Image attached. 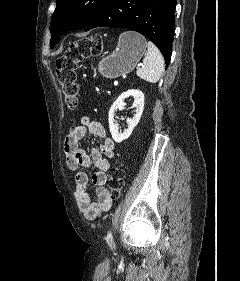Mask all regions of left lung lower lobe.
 <instances>
[{"instance_id":"1","label":"left lung lower lobe","mask_w":240,"mask_h":281,"mask_svg":"<svg viewBox=\"0 0 240 281\" xmlns=\"http://www.w3.org/2000/svg\"><path fill=\"white\" fill-rule=\"evenodd\" d=\"M177 0H107L86 26L126 28L150 39L169 65L174 36Z\"/></svg>"}]
</instances>
